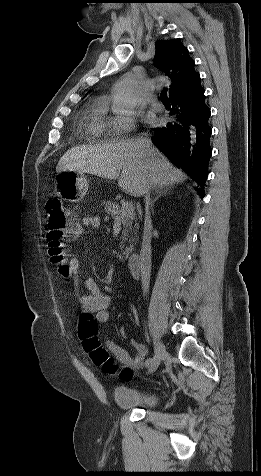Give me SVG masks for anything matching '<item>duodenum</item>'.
Instances as JSON below:
<instances>
[{
  "instance_id": "duodenum-1",
  "label": "duodenum",
  "mask_w": 261,
  "mask_h": 476,
  "mask_svg": "<svg viewBox=\"0 0 261 476\" xmlns=\"http://www.w3.org/2000/svg\"><path fill=\"white\" fill-rule=\"evenodd\" d=\"M128 268L130 274L134 278H138L141 274V258L139 254H131L128 257Z\"/></svg>"
}]
</instances>
